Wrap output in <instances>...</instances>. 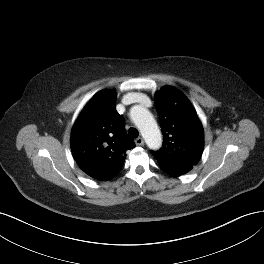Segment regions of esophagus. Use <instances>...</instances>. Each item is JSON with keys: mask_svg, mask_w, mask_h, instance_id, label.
I'll use <instances>...</instances> for the list:
<instances>
[{"mask_svg": "<svg viewBox=\"0 0 264 264\" xmlns=\"http://www.w3.org/2000/svg\"><path fill=\"white\" fill-rule=\"evenodd\" d=\"M135 144L137 146H142V145H144V140L141 137H139V138L135 139Z\"/></svg>", "mask_w": 264, "mask_h": 264, "instance_id": "obj_1", "label": "esophagus"}]
</instances>
